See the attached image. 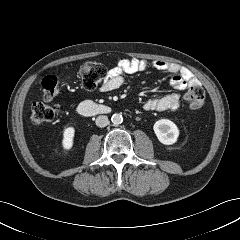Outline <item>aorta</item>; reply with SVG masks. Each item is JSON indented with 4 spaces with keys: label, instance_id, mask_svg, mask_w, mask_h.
Instances as JSON below:
<instances>
[{
    "label": "aorta",
    "instance_id": "1",
    "mask_svg": "<svg viewBox=\"0 0 240 240\" xmlns=\"http://www.w3.org/2000/svg\"><path fill=\"white\" fill-rule=\"evenodd\" d=\"M111 121L114 125H119L123 122V117L121 114H113L111 117Z\"/></svg>",
    "mask_w": 240,
    "mask_h": 240
}]
</instances>
